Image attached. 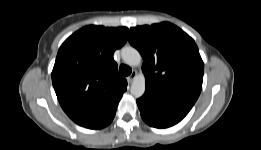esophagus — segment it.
Here are the masks:
<instances>
[{
    "mask_svg": "<svg viewBox=\"0 0 261 150\" xmlns=\"http://www.w3.org/2000/svg\"><path fill=\"white\" fill-rule=\"evenodd\" d=\"M137 76V72L133 71L130 76H128V81L132 82Z\"/></svg>",
    "mask_w": 261,
    "mask_h": 150,
    "instance_id": "esophagus-1",
    "label": "esophagus"
}]
</instances>
